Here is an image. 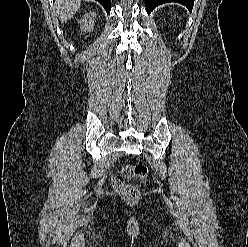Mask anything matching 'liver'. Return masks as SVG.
Listing matches in <instances>:
<instances>
[{
	"label": "liver",
	"instance_id": "liver-1",
	"mask_svg": "<svg viewBox=\"0 0 248 247\" xmlns=\"http://www.w3.org/2000/svg\"><path fill=\"white\" fill-rule=\"evenodd\" d=\"M81 0H56L55 8L60 21L67 22L79 10Z\"/></svg>",
	"mask_w": 248,
	"mask_h": 247
}]
</instances>
